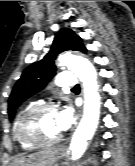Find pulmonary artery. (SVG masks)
<instances>
[{
    "mask_svg": "<svg viewBox=\"0 0 135 166\" xmlns=\"http://www.w3.org/2000/svg\"><path fill=\"white\" fill-rule=\"evenodd\" d=\"M76 77L71 71H61L57 75L56 83L61 87L72 88L76 86Z\"/></svg>",
    "mask_w": 135,
    "mask_h": 166,
    "instance_id": "obj_1",
    "label": "pulmonary artery"
}]
</instances>
